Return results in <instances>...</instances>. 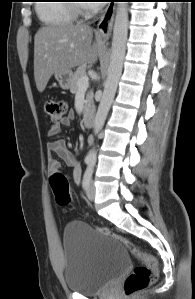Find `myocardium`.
<instances>
[{
  "label": "myocardium",
  "mask_w": 195,
  "mask_h": 299,
  "mask_svg": "<svg viewBox=\"0 0 195 299\" xmlns=\"http://www.w3.org/2000/svg\"><path fill=\"white\" fill-rule=\"evenodd\" d=\"M75 15L86 16L90 12V7L86 4L76 3L72 6Z\"/></svg>",
  "instance_id": "obj_1"
}]
</instances>
